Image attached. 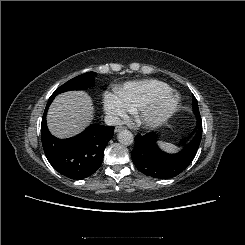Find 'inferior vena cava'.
Returning <instances> with one entry per match:
<instances>
[{
    "label": "inferior vena cava",
    "mask_w": 245,
    "mask_h": 245,
    "mask_svg": "<svg viewBox=\"0 0 245 245\" xmlns=\"http://www.w3.org/2000/svg\"><path fill=\"white\" fill-rule=\"evenodd\" d=\"M105 123L108 126H118L121 124V120L119 117L112 115V114H107L105 116Z\"/></svg>",
    "instance_id": "602c4592"
}]
</instances>
